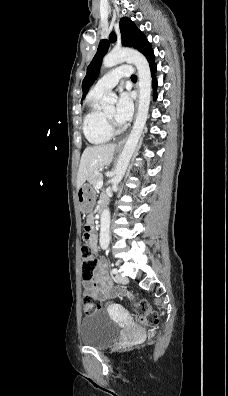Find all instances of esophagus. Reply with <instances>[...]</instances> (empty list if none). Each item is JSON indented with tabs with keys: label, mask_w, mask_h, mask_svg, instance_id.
I'll list each match as a JSON object with an SVG mask.
<instances>
[{
	"label": "esophagus",
	"mask_w": 228,
	"mask_h": 396,
	"mask_svg": "<svg viewBox=\"0 0 228 396\" xmlns=\"http://www.w3.org/2000/svg\"><path fill=\"white\" fill-rule=\"evenodd\" d=\"M136 89H137V91H138V86H136ZM137 105H138V100L136 101V112H137ZM126 139H127V138H124L123 140H121V141L118 143V147H119V148H122V147L124 146V144H125V142H126Z\"/></svg>",
	"instance_id": "34e87169"
}]
</instances>
